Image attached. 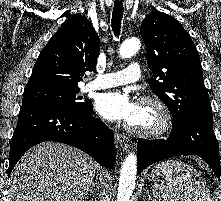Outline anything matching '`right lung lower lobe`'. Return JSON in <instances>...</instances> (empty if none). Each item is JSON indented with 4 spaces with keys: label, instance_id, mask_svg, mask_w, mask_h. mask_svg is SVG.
I'll list each match as a JSON object with an SVG mask.
<instances>
[{
    "label": "right lung lower lobe",
    "instance_id": "98d812e1",
    "mask_svg": "<svg viewBox=\"0 0 221 201\" xmlns=\"http://www.w3.org/2000/svg\"><path fill=\"white\" fill-rule=\"evenodd\" d=\"M54 141L72 145L113 168L116 162L114 133L92 116V104L84 111L41 102L22 104L10 144L9 169L34 145Z\"/></svg>",
    "mask_w": 221,
    "mask_h": 201
}]
</instances>
